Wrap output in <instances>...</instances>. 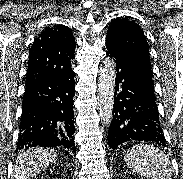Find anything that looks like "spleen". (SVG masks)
Instances as JSON below:
<instances>
[{
  "mask_svg": "<svg viewBox=\"0 0 183 179\" xmlns=\"http://www.w3.org/2000/svg\"><path fill=\"white\" fill-rule=\"evenodd\" d=\"M132 172L150 179H171L172 166L167 155L159 148L137 144L124 157Z\"/></svg>",
  "mask_w": 183,
  "mask_h": 179,
  "instance_id": "obj_1",
  "label": "spleen"
}]
</instances>
